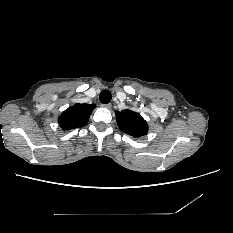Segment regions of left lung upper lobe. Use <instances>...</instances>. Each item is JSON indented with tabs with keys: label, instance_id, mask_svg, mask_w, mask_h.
Returning a JSON list of instances; mask_svg holds the SVG:
<instances>
[{
	"label": "left lung upper lobe",
	"instance_id": "left-lung-upper-lobe-1",
	"mask_svg": "<svg viewBox=\"0 0 233 233\" xmlns=\"http://www.w3.org/2000/svg\"><path fill=\"white\" fill-rule=\"evenodd\" d=\"M117 124L124 133L139 138L147 134L148 125L142 116L131 110L116 112Z\"/></svg>",
	"mask_w": 233,
	"mask_h": 233
}]
</instances>
